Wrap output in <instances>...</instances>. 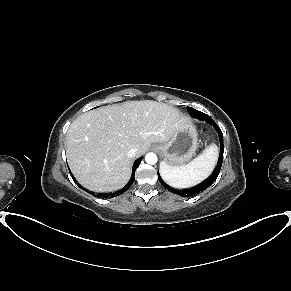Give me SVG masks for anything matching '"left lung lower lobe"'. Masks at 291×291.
<instances>
[{"mask_svg": "<svg viewBox=\"0 0 291 291\" xmlns=\"http://www.w3.org/2000/svg\"><path fill=\"white\" fill-rule=\"evenodd\" d=\"M191 116L211 124L216 129V131L218 132V135H219V139H220V156H219L217 166L214 169L213 173L205 181H203L199 185L194 186V187L189 188V189L177 190V189H173V188L169 187L161 179V177L158 173V179H159V182L162 184V186L165 189H167L168 191L179 194L182 197L195 196V195L203 192L204 190H206L209 186H211L213 184V182L217 179L219 172H220V169H221V166H222V162H223V152H224L223 134H222L220 128L218 127V125L213 121V119L209 115H207L203 112L195 110L192 112Z\"/></svg>", "mask_w": 291, "mask_h": 291, "instance_id": "1", "label": "left lung lower lobe"}]
</instances>
